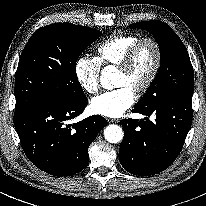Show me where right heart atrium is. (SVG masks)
Instances as JSON below:
<instances>
[{"mask_svg": "<svg viewBox=\"0 0 206 206\" xmlns=\"http://www.w3.org/2000/svg\"><path fill=\"white\" fill-rule=\"evenodd\" d=\"M101 65L96 58L81 56L75 64V77L81 89L89 95L100 87Z\"/></svg>", "mask_w": 206, "mask_h": 206, "instance_id": "1", "label": "right heart atrium"}]
</instances>
